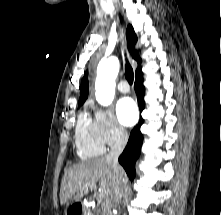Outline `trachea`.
I'll return each mask as SVG.
<instances>
[{
	"mask_svg": "<svg viewBox=\"0 0 221 215\" xmlns=\"http://www.w3.org/2000/svg\"><path fill=\"white\" fill-rule=\"evenodd\" d=\"M125 77L127 81L129 82V84L133 83V79H134L133 69L130 66L128 61L126 62V66H125Z\"/></svg>",
	"mask_w": 221,
	"mask_h": 215,
	"instance_id": "1",
	"label": "trachea"
}]
</instances>
